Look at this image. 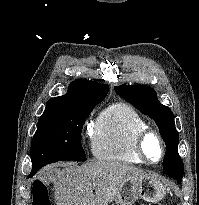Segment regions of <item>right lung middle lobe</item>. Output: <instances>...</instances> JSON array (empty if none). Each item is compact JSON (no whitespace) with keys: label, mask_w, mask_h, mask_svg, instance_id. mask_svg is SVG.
Segmentation results:
<instances>
[{"label":"right lung middle lobe","mask_w":199,"mask_h":205,"mask_svg":"<svg viewBox=\"0 0 199 205\" xmlns=\"http://www.w3.org/2000/svg\"><path fill=\"white\" fill-rule=\"evenodd\" d=\"M101 101L83 100L44 111L31 144L30 175L34 176L41 167L57 161L86 160L81 131L94 106Z\"/></svg>","instance_id":"1"}]
</instances>
